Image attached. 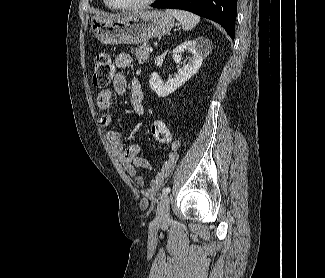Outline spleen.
<instances>
[{
  "mask_svg": "<svg viewBox=\"0 0 325 278\" xmlns=\"http://www.w3.org/2000/svg\"><path fill=\"white\" fill-rule=\"evenodd\" d=\"M166 13L175 17L184 30H192L200 21V17L183 10L166 9Z\"/></svg>",
  "mask_w": 325,
  "mask_h": 278,
  "instance_id": "spleen-1",
  "label": "spleen"
}]
</instances>
